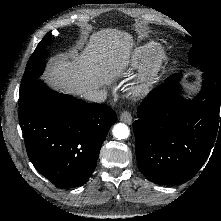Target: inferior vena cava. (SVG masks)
<instances>
[{
    "label": "inferior vena cava",
    "mask_w": 221,
    "mask_h": 221,
    "mask_svg": "<svg viewBox=\"0 0 221 221\" xmlns=\"http://www.w3.org/2000/svg\"><path fill=\"white\" fill-rule=\"evenodd\" d=\"M84 98L89 101H92V102L101 103L106 100L107 92L97 91V90H89L84 93Z\"/></svg>",
    "instance_id": "1"
}]
</instances>
